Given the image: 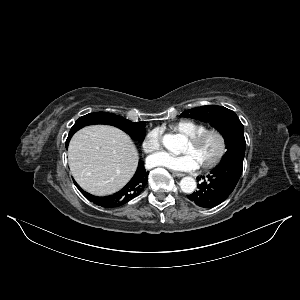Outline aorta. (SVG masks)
Returning a JSON list of instances; mask_svg holds the SVG:
<instances>
[{"mask_svg":"<svg viewBox=\"0 0 300 300\" xmlns=\"http://www.w3.org/2000/svg\"><path fill=\"white\" fill-rule=\"evenodd\" d=\"M165 148L173 153H180L183 139L180 135L166 134L162 139ZM196 181L192 177H184L180 181V188L184 193L191 194L196 189Z\"/></svg>","mask_w":300,"mask_h":300,"instance_id":"762f6f07","label":"aorta"}]
</instances>
